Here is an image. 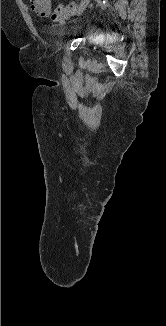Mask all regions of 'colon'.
<instances>
[{"label":"colon","instance_id":"1","mask_svg":"<svg viewBox=\"0 0 166 326\" xmlns=\"http://www.w3.org/2000/svg\"><path fill=\"white\" fill-rule=\"evenodd\" d=\"M73 9H74L73 2L61 4L53 12L51 18L53 21H57V20L61 19L64 15H66L67 13L71 12Z\"/></svg>","mask_w":166,"mask_h":326}]
</instances>
